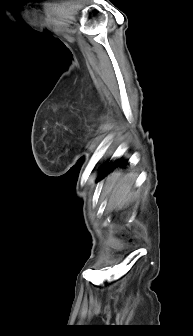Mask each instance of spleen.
<instances>
[{
	"mask_svg": "<svg viewBox=\"0 0 193 336\" xmlns=\"http://www.w3.org/2000/svg\"><path fill=\"white\" fill-rule=\"evenodd\" d=\"M135 176L132 174H114L107 182L106 197L115 209H122L132 202L136 192L134 190Z\"/></svg>",
	"mask_w": 193,
	"mask_h": 336,
	"instance_id": "1",
	"label": "spleen"
}]
</instances>
